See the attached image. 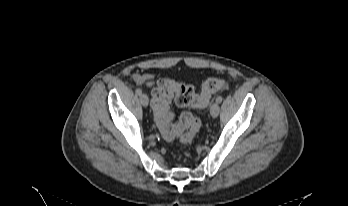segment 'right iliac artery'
<instances>
[{
    "mask_svg": "<svg viewBox=\"0 0 348 206\" xmlns=\"http://www.w3.org/2000/svg\"><path fill=\"white\" fill-rule=\"evenodd\" d=\"M135 92H136L137 95H141L142 94V90L140 88H137Z\"/></svg>",
    "mask_w": 348,
    "mask_h": 206,
    "instance_id": "1",
    "label": "right iliac artery"
}]
</instances>
